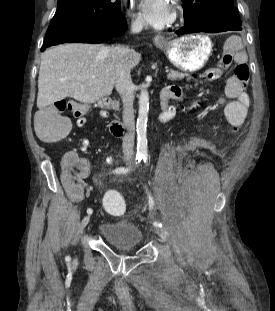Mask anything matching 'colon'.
<instances>
[{"mask_svg":"<svg viewBox=\"0 0 275 311\" xmlns=\"http://www.w3.org/2000/svg\"><path fill=\"white\" fill-rule=\"evenodd\" d=\"M235 75L244 83L249 79V68L245 63H239L235 67ZM66 108L73 111L78 110L76 103L59 101L53 106L41 111L36 117V132L38 136L46 141H58L66 138L71 131V123L62 111ZM120 190L104 191V207L111 214H120L124 211V204Z\"/></svg>","mask_w":275,"mask_h":311,"instance_id":"5ec220e1","label":"colon"}]
</instances>
